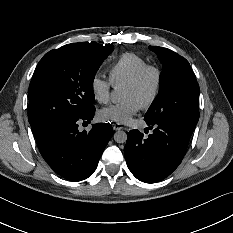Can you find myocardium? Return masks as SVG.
Here are the masks:
<instances>
[{"label":"myocardium","mask_w":233,"mask_h":233,"mask_svg":"<svg viewBox=\"0 0 233 233\" xmlns=\"http://www.w3.org/2000/svg\"><path fill=\"white\" fill-rule=\"evenodd\" d=\"M148 72H153L155 74V86L152 95L150 98L142 105L144 108L150 107L153 105L156 100L158 99L161 88H162V81H163V73L162 70L159 66L154 65V64H146L143 67H141L125 84V87H137L143 77L148 73Z\"/></svg>","instance_id":"myocardium-1"}]
</instances>
